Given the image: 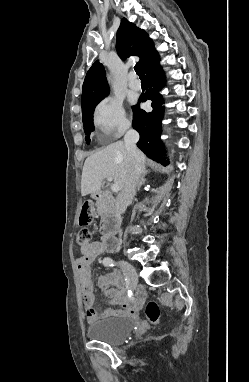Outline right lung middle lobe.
Returning a JSON list of instances; mask_svg holds the SVG:
<instances>
[{"mask_svg": "<svg viewBox=\"0 0 249 382\" xmlns=\"http://www.w3.org/2000/svg\"><path fill=\"white\" fill-rule=\"evenodd\" d=\"M102 99L95 100L91 102L86 109L82 111V118H83V124H84V130L87 135H90V133L94 130L93 125V112L95 106L101 101ZM86 142L89 144L90 139L86 137Z\"/></svg>", "mask_w": 249, "mask_h": 382, "instance_id": "obj_1", "label": "right lung middle lobe"}]
</instances>
